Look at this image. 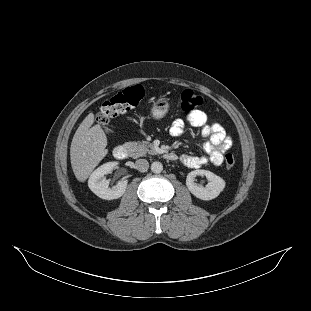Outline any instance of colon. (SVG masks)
<instances>
[{"instance_id":"1","label":"colon","mask_w":311,"mask_h":311,"mask_svg":"<svg viewBox=\"0 0 311 311\" xmlns=\"http://www.w3.org/2000/svg\"><path fill=\"white\" fill-rule=\"evenodd\" d=\"M145 95L141 86H134L123 90L117 95L105 101L97 115L98 122L107 129L109 122L136 108ZM203 102L202 97L192 90H184L179 96V106L184 112H192ZM236 159L233 154L228 153L225 156V166L227 169L234 167Z\"/></svg>"}]
</instances>
